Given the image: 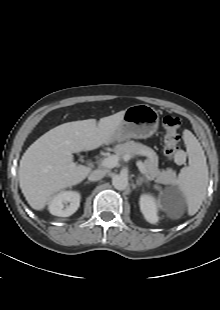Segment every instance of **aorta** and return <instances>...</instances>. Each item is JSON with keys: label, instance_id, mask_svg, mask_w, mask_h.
I'll list each match as a JSON object with an SVG mask.
<instances>
[{"label": "aorta", "instance_id": "1", "mask_svg": "<svg viewBox=\"0 0 220 310\" xmlns=\"http://www.w3.org/2000/svg\"><path fill=\"white\" fill-rule=\"evenodd\" d=\"M112 185L117 190H125L128 186V178L124 175H115L112 178Z\"/></svg>", "mask_w": 220, "mask_h": 310}]
</instances>
